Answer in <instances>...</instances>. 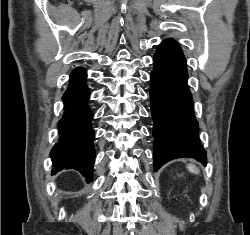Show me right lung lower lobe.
<instances>
[{
	"label": "right lung lower lobe",
	"mask_w": 250,
	"mask_h": 235,
	"mask_svg": "<svg viewBox=\"0 0 250 235\" xmlns=\"http://www.w3.org/2000/svg\"><path fill=\"white\" fill-rule=\"evenodd\" d=\"M86 71L78 67L71 72L69 86L64 94L65 113L59 122L60 140L50 152L54 173L74 169L89 181L95 160L93 113L88 107L90 97L86 85Z\"/></svg>",
	"instance_id": "1"
}]
</instances>
